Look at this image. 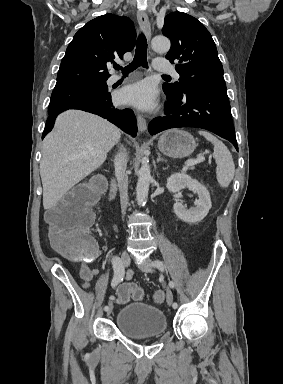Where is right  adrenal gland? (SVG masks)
Returning <instances> with one entry per match:
<instances>
[{
	"label": "right adrenal gland",
	"mask_w": 283,
	"mask_h": 384,
	"mask_svg": "<svg viewBox=\"0 0 283 384\" xmlns=\"http://www.w3.org/2000/svg\"><path fill=\"white\" fill-rule=\"evenodd\" d=\"M121 150H124L123 146H120Z\"/></svg>",
	"instance_id": "obj_1"
}]
</instances>
